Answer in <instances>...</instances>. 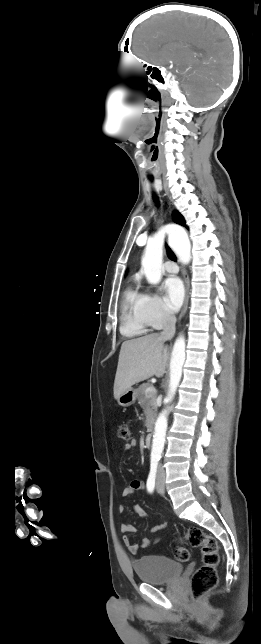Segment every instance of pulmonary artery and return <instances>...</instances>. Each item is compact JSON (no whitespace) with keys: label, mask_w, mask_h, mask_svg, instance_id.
<instances>
[{"label":"pulmonary artery","mask_w":261,"mask_h":644,"mask_svg":"<svg viewBox=\"0 0 261 644\" xmlns=\"http://www.w3.org/2000/svg\"><path fill=\"white\" fill-rule=\"evenodd\" d=\"M164 268L168 273H177L178 272V266L176 265V263H174L172 261H167L164 264Z\"/></svg>","instance_id":"obj_1"}]
</instances>
